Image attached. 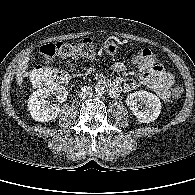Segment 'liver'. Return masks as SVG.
I'll return each mask as SVG.
<instances>
[{"label":"liver","instance_id":"1","mask_svg":"<svg viewBox=\"0 0 195 195\" xmlns=\"http://www.w3.org/2000/svg\"><path fill=\"white\" fill-rule=\"evenodd\" d=\"M29 57H25L24 60L20 63L19 68L17 70V83L19 85L23 82V76L26 68L28 67Z\"/></svg>","mask_w":195,"mask_h":195}]
</instances>
